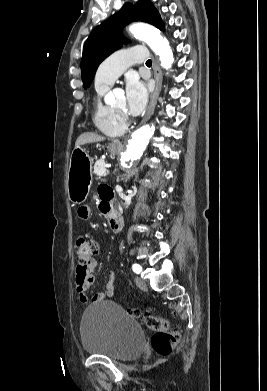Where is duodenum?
I'll use <instances>...</instances> for the list:
<instances>
[{
	"instance_id": "obj_1",
	"label": "duodenum",
	"mask_w": 267,
	"mask_h": 391,
	"mask_svg": "<svg viewBox=\"0 0 267 391\" xmlns=\"http://www.w3.org/2000/svg\"><path fill=\"white\" fill-rule=\"evenodd\" d=\"M103 211L108 216L109 226L113 232H119L123 226V219L116 210H111L107 204H102Z\"/></svg>"
}]
</instances>
